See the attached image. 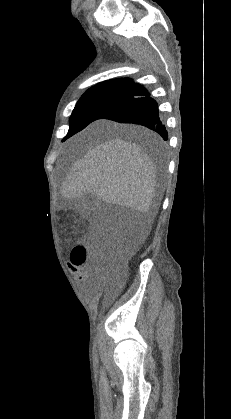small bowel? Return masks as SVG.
<instances>
[{
	"label": "small bowel",
	"mask_w": 231,
	"mask_h": 419,
	"mask_svg": "<svg viewBox=\"0 0 231 419\" xmlns=\"http://www.w3.org/2000/svg\"><path fill=\"white\" fill-rule=\"evenodd\" d=\"M77 279L80 283H85L88 280V273L83 268H78L77 271Z\"/></svg>",
	"instance_id": "obj_1"
}]
</instances>
